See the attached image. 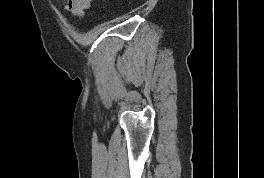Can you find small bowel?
Returning <instances> with one entry per match:
<instances>
[{"instance_id": "small-bowel-1", "label": "small bowel", "mask_w": 264, "mask_h": 178, "mask_svg": "<svg viewBox=\"0 0 264 178\" xmlns=\"http://www.w3.org/2000/svg\"><path fill=\"white\" fill-rule=\"evenodd\" d=\"M92 0H66L65 8L76 16H81L83 11L90 7Z\"/></svg>"}]
</instances>
